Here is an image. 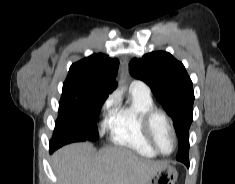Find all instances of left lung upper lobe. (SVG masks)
<instances>
[{
    "label": "left lung upper lobe",
    "instance_id": "5c2ea615",
    "mask_svg": "<svg viewBox=\"0 0 235 184\" xmlns=\"http://www.w3.org/2000/svg\"><path fill=\"white\" fill-rule=\"evenodd\" d=\"M130 74L144 81L171 116L179 138L177 160L189 161V128L193 120L194 92L184 65L170 53L155 51L129 63Z\"/></svg>",
    "mask_w": 235,
    "mask_h": 184
}]
</instances>
